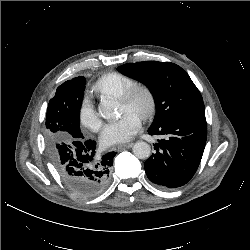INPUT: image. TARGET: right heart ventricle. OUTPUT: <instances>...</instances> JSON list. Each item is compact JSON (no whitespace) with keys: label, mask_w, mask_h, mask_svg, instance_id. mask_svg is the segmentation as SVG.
Wrapping results in <instances>:
<instances>
[{"label":"right heart ventricle","mask_w":250,"mask_h":250,"mask_svg":"<svg viewBox=\"0 0 250 250\" xmlns=\"http://www.w3.org/2000/svg\"><path fill=\"white\" fill-rule=\"evenodd\" d=\"M135 83V79L129 75L120 72H111L96 81L93 86V92L98 96L118 98Z\"/></svg>","instance_id":"right-heart-ventricle-1"}]
</instances>
